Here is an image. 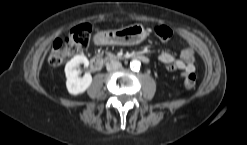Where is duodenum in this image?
<instances>
[{"mask_svg":"<svg viewBox=\"0 0 247 145\" xmlns=\"http://www.w3.org/2000/svg\"><path fill=\"white\" fill-rule=\"evenodd\" d=\"M96 43L100 44L101 43V39H96L95 40ZM131 58L133 59H137V60H140L144 63H148L149 62V59L146 55L144 54H141V53H134L131 55ZM103 66V62L101 59L99 58H92L90 60V68L93 70V71H99Z\"/></svg>","mask_w":247,"mask_h":145,"instance_id":"obj_1","label":"duodenum"}]
</instances>
